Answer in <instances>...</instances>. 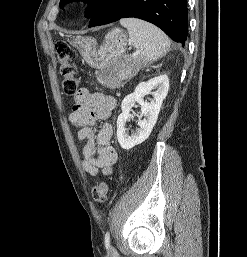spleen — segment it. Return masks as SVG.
<instances>
[{"mask_svg": "<svg viewBox=\"0 0 247 257\" xmlns=\"http://www.w3.org/2000/svg\"><path fill=\"white\" fill-rule=\"evenodd\" d=\"M120 24L128 30L131 43L143 62L156 61L167 53L170 40L156 26L136 18L121 19Z\"/></svg>", "mask_w": 247, "mask_h": 257, "instance_id": "obj_1", "label": "spleen"}]
</instances>
